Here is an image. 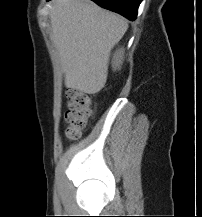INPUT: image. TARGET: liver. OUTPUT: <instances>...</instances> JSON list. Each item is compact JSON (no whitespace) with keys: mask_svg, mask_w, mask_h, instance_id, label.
Segmentation results:
<instances>
[{"mask_svg":"<svg viewBox=\"0 0 202 217\" xmlns=\"http://www.w3.org/2000/svg\"><path fill=\"white\" fill-rule=\"evenodd\" d=\"M50 21L65 86L98 93L107 80L111 50L127 31V21L90 0H53Z\"/></svg>","mask_w":202,"mask_h":217,"instance_id":"6515ba94","label":"liver"}]
</instances>
